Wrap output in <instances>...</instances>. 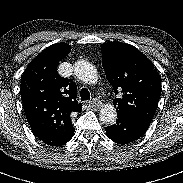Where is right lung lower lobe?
<instances>
[{
  "label": "right lung lower lobe",
  "mask_w": 183,
  "mask_h": 183,
  "mask_svg": "<svg viewBox=\"0 0 183 183\" xmlns=\"http://www.w3.org/2000/svg\"><path fill=\"white\" fill-rule=\"evenodd\" d=\"M73 136V135H72ZM72 136L64 139V140H56V141H43L45 144H48L50 146H62L64 144H66L71 138Z\"/></svg>",
  "instance_id": "1"
}]
</instances>
